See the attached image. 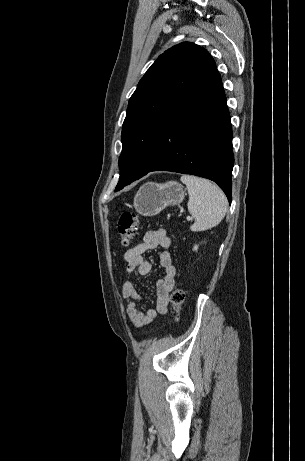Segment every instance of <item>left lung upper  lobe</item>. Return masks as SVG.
Returning <instances> with one entry per match:
<instances>
[{
	"label": "left lung upper lobe",
	"instance_id": "left-lung-upper-lobe-1",
	"mask_svg": "<svg viewBox=\"0 0 305 461\" xmlns=\"http://www.w3.org/2000/svg\"><path fill=\"white\" fill-rule=\"evenodd\" d=\"M214 63L207 50L183 42L166 50L147 70L129 100L115 191L148 171L164 126Z\"/></svg>",
	"mask_w": 305,
	"mask_h": 461
}]
</instances>
